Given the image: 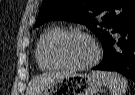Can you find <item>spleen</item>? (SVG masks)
Wrapping results in <instances>:
<instances>
[{"instance_id": "spleen-1", "label": "spleen", "mask_w": 135, "mask_h": 95, "mask_svg": "<svg viewBox=\"0 0 135 95\" xmlns=\"http://www.w3.org/2000/svg\"><path fill=\"white\" fill-rule=\"evenodd\" d=\"M94 75L98 76L105 87H107L111 95H124L127 89V80L114 72L94 71Z\"/></svg>"}]
</instances>
